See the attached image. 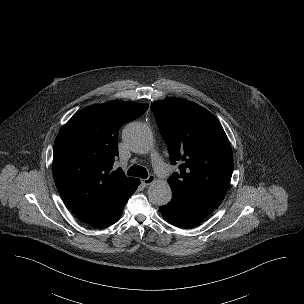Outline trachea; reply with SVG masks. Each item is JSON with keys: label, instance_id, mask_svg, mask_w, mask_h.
<instances>
[{"label": "trachea", "instance_id": "3493384b", "mask_svg": "<svg viewBox=\"0 0 304 304\" xmlns=\"http://www.w3.org/2000/svg\"><path fill=\"white\" fill-rule=\"evenodd\" d=\"M127 173L129 176H136V177H140V178L148 177L147 170L144 167H141L138 165L131 166Z\"/></svg>", "mask_w": 304, "mask_h": 304}]
</instances>
